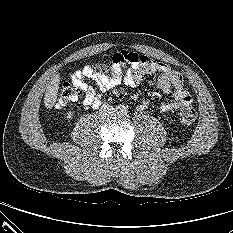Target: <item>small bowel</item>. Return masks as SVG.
Wrapping results in <instances>:
<instances>
[{
	"label": "small bowel",
	"instance_id": "obj_1",
	"mask_svg": "<svg viewBox=\"0 0 233 233\" xmlns=\"http://www.w3.org/2000/svg\"><path fill=\"white\" fill-rule=\"evenodd\" d=\"M112 60L120 70L121 68L125 69L123 78L120 75L111 76L102 73L91 66H84L71 75L72 84L83 93L81 102L85 106L98 108L102 102L100 93L112 90L121 83L131 88L136 87L145 75L153 73L159 74L157 87L164 93L172 92L174 96V101L161 103L160 110L162 112H171L192 103V97L184 87L181 74L172 70L167 64L127 50L117 52ZM86 79L94 81L98 85L100 93L90 86ZM147 107V102L140 104L142 110Z\"/></svg>",
	"mask_w": 233,
	"mask_h": 233
}]
</instances>
